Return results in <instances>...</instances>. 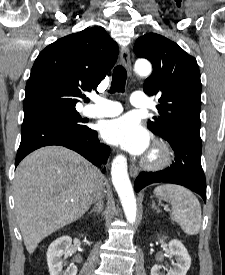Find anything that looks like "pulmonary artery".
I'll use <instances>...</instances> for the list:
<instances>
[{"label": "pulmonary artery", "instance_id": "e3ab8cb5", "mask_svg": "<svg viewBox=\"0 0 225 275\" xmlns=\"http://www.w3.org/2000/svg\"><path fill=\"white\" fill-rule=\"evenodd\" d=\"M131 104L138 108L150 106L148 97L143 92H135L130 99ZM123 107L119 102L107 99H98L96 104L87 106L83 109V114L88 117H112L120 114Z\"/></svg>", "mask_w": 225, "mask_h": 275}]
</instances>
